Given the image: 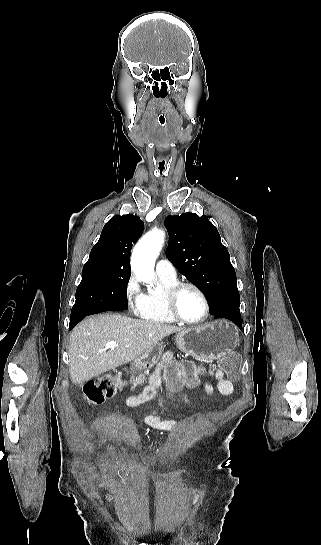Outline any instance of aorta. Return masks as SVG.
I'll return each mask as SVG.
<instances>
[{
	"label": "aorta",
	"mask_w": 321,
	"mask_h": 545,
	"mask_svg": "<svg viewBox=\"0 0 321 545\" xmlns=\"http://www.w3.org/2000/svg\"><path fill=\"white\" fill-rule=\"evenodd\" d=\"M165 234L154 229L144 235L133 249L132 270L140 281L150 282L154 274L155 261L164 243Z\"/></svg>",
	"instance_id": "obj_1"
}]
</instances>
